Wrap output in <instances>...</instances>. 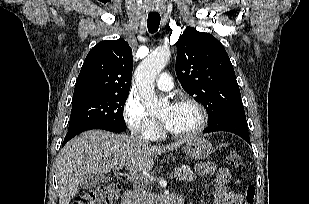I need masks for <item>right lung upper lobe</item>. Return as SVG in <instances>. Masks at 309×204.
<instances>
[{
	"label": "right lung upper lobe",
	"instance_id": "1",
	"mask_svg": "<svg viewBox=\"0 0 309 204\" xmlns=\"http://www.w3.org/2000/svg\"><path fill=\"white\" fill-rule=\"evenodd\" d=\"M132 49L122 39L93 47L76 80L72 103L109 94H128L132 77Z\"/></svg>",
	"mask_w": 309,
	"mask_h": 204
}]
</instances>
